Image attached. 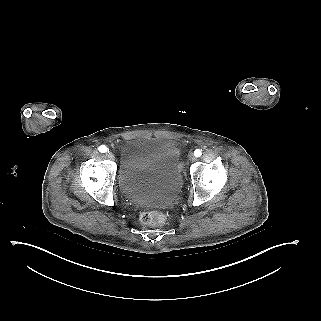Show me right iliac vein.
Masks as SVG:
<instances>
[{
	"label": "right iliac vein",
	"mask_w": 321,
	"mask_h": 321,
	"mask_svg": "<svg viewBox=\"0 0 321 321\" xmlns=\"http://www.w3.org/2000/svg\"><path fill=\"white\" fill-rule=\"evenodd\" d=\"M106 156H107V158H109V159H111V160L114 159V155H113L111 152H109V151L106 153Z\"/></svg>",
	"instance_id": "1"
}]
</instances>
